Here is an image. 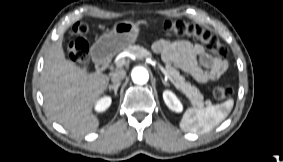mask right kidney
Wrapping results in <instances>:
<instances>
[{"instance_id":"right-kidney-1","label":"right kidney","mask_w":283,"mask_h":162,"mask_svg":"<svg viewBox=\"0 0 283 162\" xmlns=\"http://www.w3.org/2000/svg\"><path fill=\"white\" fill-rule=\"evenodd\" d=\"M110 104H111V98L105 96L96 102L95 110L98 112H103L110 106Z\"/></svg>"}]
</instances>
